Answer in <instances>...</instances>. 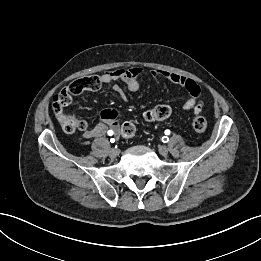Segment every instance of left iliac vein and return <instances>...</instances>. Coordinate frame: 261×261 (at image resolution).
Instances as JSON below:
<instances>
[{
    "mask_svg": "<svg viewBox=\"0 0 261 261\" xmlns=\"http://www.w3.org/2000/svg\"><path fill=\"white\" fill-rule=\"evenodd\" d=\"M168 152H169L168 147H166V146H164V145H162V146L159 147V153H160L161 155L166 156V155L168 154Z\"/></svg>",
    "mask_w": 261,
    "mask_h": 261,
    "instance_id": "1",
    "label": "left iliac vein"
}]
</instances>
